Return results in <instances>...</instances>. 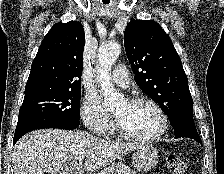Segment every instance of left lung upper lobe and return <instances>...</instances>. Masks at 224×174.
<instances>
[{
    "instance_id": "1",
    "label": "left lung upper lobe",
    "mask_w": 224,
    "mask_h": 174,
    "mask_svg": "<svg viewBox=\"0 0 224 174\" xmlns=\"http://www.w3.org/2000/svg\"><path fill=\"white\" fill-rule=\"evenodd\" d=\"M127 57L140 89L154 99L172 127L193 117L187 76L169 36L152 20L130 22L124 33Z\"/></svg>"
}]
</instances>
